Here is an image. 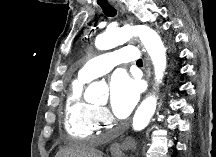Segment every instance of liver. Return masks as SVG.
<instances>
[{
	"label": "liver",
	"mask_w": 216,
	"mask_h": 157,
	"mask_svg": "<svg viewBox=\"0 0 216 157\" xmlns=\"http://www.w3.org/2000/svg\"><path fill=\"white\" fill-rule=\"evenodd\" d=\"M57 157H102V153L84 143L75 142L59 151Z\"/></svg>",
	"instance_id": "1"
}]
</instances>
